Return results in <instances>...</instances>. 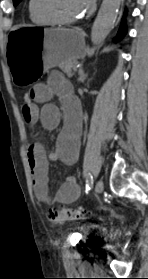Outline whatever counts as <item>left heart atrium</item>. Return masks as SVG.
Segmentation results:
<instances>
[{
    "mask_svg": "<svg viewBox=\"0 0 148 279\" xmlns=\"http://www.w3.org/2000/svg\"><path fill=\"white\" fill-rule=\"evenodd\" d=\"M82 12L90 11L95 5V0H79Z\"/></svg>",
    "mask_w": 148,
    "mask_h": 279,
    "instance_id": "1",
    "label": "left heart atrium"
}]
</instances>
